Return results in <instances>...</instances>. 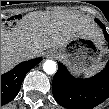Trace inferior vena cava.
<instances>
[{"label":"inferior vena cava","instance_id":"obj_1","mask_svg":"<svg viewBox=\"0 0 109 109\" xmlns=\"http://www.w3.org/2000/svg\"><path fill=\"white\" fill-rule=\"evenodd\" d=\"M19 55L23 60H29L35 58V53L29 49H24L19 52Z\"/></svg>","mask_w":109,"mask_h":109}]
</instances>
